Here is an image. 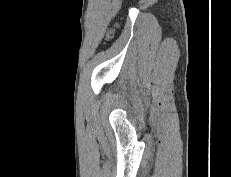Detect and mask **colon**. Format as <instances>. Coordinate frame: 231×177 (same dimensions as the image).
<instances>
[{"label": "colon", "instance_id": "obj_1", "mask_svg": "<svg viewBox=\"0 0 231 177\" xmlns=\"http://www.w3.org/2000/svg\"><path fill=\"white\" fill-rule=\"evenodd\" d=\"M110 36H111V33L108 34V37H110Z\"/></svg>", "mask_w": 231, "mask_h": 177}]
</instances>
